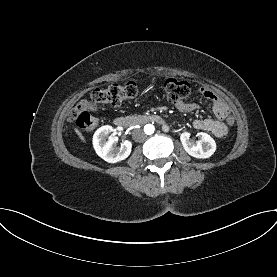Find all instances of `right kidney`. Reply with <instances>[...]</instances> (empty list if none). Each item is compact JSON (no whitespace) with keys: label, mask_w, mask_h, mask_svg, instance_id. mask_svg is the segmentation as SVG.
<instances>
[{"label":"right kidney","mask_w":277,"mask_h":277,"mask_svg":"<svg viewBox=\"0 0 277 277\" xmlns=\"http://www.w3.org/2000/svg\"><path fill=\"white\" fill-rule=\"evenodd\" d=\"M116 134V130L112 126L105 125L99 128L93 136V146L96 153L109 163L126 159L132 149V143L128 140L124 141L121 147H115L118 142Z\"/></svg>","instance_id":"obj_1"}]
</instances>
